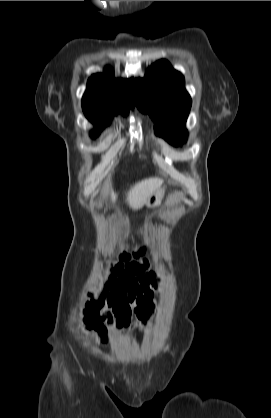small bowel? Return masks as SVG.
I'll use <instances>...</instances> for the list:
<instances>
[{
    "mask_svg": "<svg viewBox=\"0 0 271 418\" xmlns=\"http://www.w3.org/2000/svg\"><path fill=\"white\" fill-rule=\"evenodd\" d=\"M162 257L159 250L154 249L149 256H143L132 262L123 261L111 270L105 290L100 292L98 301L103 303L106 300L111 307L113 314H121L119 321L128 323L130 316L134 314L132 321L139 326L146 323L154 312L155 288L157 276L154 273L157 268V261ZM100 304L93 302L89 309L99 317L98 309ZM137 313V314H136ZM103 322L111 323L110 315H103Z\"/></svg>",
    "mask_w": 271,
    "mask_h": 418,
    "instance_id": "small-bowel-1",
    "label": "small bowel"
}]
</instances>
